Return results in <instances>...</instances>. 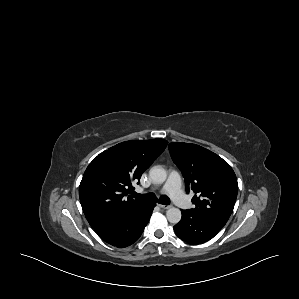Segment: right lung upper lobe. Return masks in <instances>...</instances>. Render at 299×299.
Wrapping results in <instances>:
<instances>
[{
    "label": "right lung upper lobe",
    "mask_w": 299,
    "mask_h": 299,
    "mask_svg": "<svg viewBox=\"0 0 299 299\" xmlns=\"http://www.w3.org/2000/svg\"><path fill=\"white\" fill-rule=\"evenodd\" d=\"M167 144L163 139L130 140L94 158L79 186L82 209L92 228L146 204L127 194Z\"/></svg>",
    "instance_id": "right-lung-upper-lobe-1"
}]
</instances>
